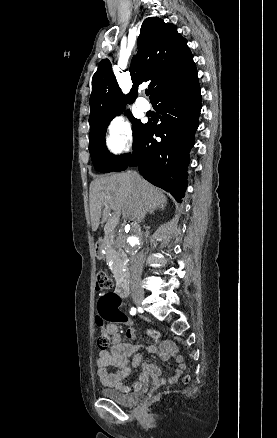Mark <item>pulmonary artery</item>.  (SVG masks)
Returning a JSON list of instances; mask_svg holds the SVG:
<instances>
[{
    "mask_svg": "<svg viewBox=\"0 0 277 438\" xmlns=\"http://www.w3.org/2000/svg\"><path fill=\"white\" fill-rule=\"evenodd\" d=\"M137 104H138V106L141 108V110L143 112H146L148 110V104H147V102L143 98H140L137 101Z\"/></svg>",
    "mask_w": 277,
    "mask_h": 438,
    "instance_id": "e3ab8cb5",
    "label": "pulmonary artery"
}]
</instances>
